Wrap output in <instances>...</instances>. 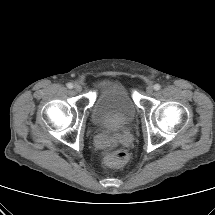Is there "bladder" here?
I'll use <instances>...</instances> for the list:
<instances>
[{"mask_svg": "<svg viewBox=\"0 0 215 215\" xmlns=\"http://www.w3.org/2000/svg\"><path fill=\"white\" fill-rule=\"evenodd\" d=\"M135 115V103L124 85L108 79L96 84L91 106L96 126L118 130L130 124Z\"/></svg>", "mask_w": 215, "mask_h": 215, "instance_id": "bladder-1", "label": "bladder"}]
</instances>
